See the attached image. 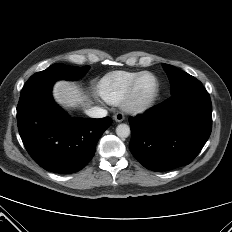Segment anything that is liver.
Masks as SVG:
<instances>
[{
  "label": "liver",
  "mask_w": 232,
  "mask_h": 232,
  "mask_svg": "<svg viewBox=\"0 0 232 232\" xmlns=\"http://www.w3.org/2000/svg\"><path fill=\"white\" fill-rule=\"evenodd\" d=\"M55 101L65 108H75L88 105L87 97L76 84L68 81H58L53 88Z\"/></svg>",
  "instance_id": "6515ba94"
}]
</instances>
